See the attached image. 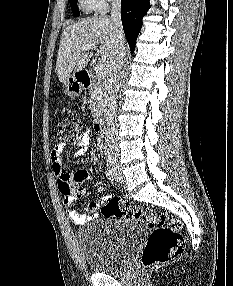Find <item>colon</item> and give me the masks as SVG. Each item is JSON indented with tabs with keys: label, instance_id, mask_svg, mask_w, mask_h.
<instances>
[{
	"label": "colon",
	"instance_id": "1",
	"mask_svg": "<svg viewBox=\"0 0 233 286\" xmlns=\"http://www.w3.org/2000/svg\"><path fill=\"white\" fill-rule=\"evenodd\" d=\"M81 120L71 118L56 125V137L65 143H73L80 136ZM101 213L107 218H133L141 220L151 229L143 250L141 262L145 269L163 265L178 257L185 246L180 221L153 209H141L118 198H110L101 206Z\"/></svg>",
	"mask_w": 233,
	"mask_h": 286
}]
</instances>
